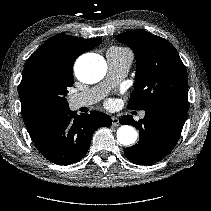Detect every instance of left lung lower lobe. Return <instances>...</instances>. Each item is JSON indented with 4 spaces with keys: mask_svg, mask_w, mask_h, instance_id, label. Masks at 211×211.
Listing matches in <instances>:
<instances>
[{
    "mask_svg": "<svg viewBox=\"0 0 211 211\" xmlns=\"http://www.w3.org/2000/svg\"><path fill=\"white\" fill-rule=\"evenodd\" d=\"M145 117L136 122L130 115L122 116L121 124L138 128V144L124 150L129 161L137 165H152L167 156L180 137L187 115V100L167 99L150 104Z\"/></svg>",
    "mask_w": 211,
    "mask_h": 211,
    "instance_id": "obj_1",
    "label": "left lung lower lobe"
}]
</instances>
